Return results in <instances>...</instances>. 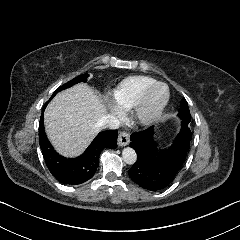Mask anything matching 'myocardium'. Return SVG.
<instances>
[{
	"label": "myocardium",
	"instance_id": "1",
	"mask_svg": "<svg viewBox=\"0 0 240 240\" xmlns=\"http://www.w3.org/2000/svg\"><path fill=\"white\" fill-rule=\"evenodd\" d=\"M157 88H163L164 94L158 102L153 103L152 96ZM169 97V88L165 83L158 82L146 89L134 108L132 114L133 124L137 127L151 126L161 116L163 110L168 104Z\"/></svg>",
	"mask_w": 240,
	"mask_h": 240
}]
</instances>
